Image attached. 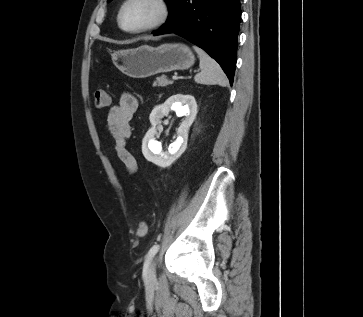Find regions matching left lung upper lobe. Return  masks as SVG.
Returning a JSON list of instances; mask_svg holds the SVG:
<instances>
[{
	"label": "left lung upper lobe",
	"instance_id": "1",
	"mask_svg": "<svg viewBox=\"0 0 363 317\" xmlns=\"http://www.w3.org/2000/svg\"><path fill=\"white\" fill-rule=\"evenodd\" d=\"M109 1H111V0H108V2ZM166 2L168 3V4H170L171 2H172V0H166Z\"/></svg>",
	"mask_w": 363,
	"mask_h": 317
}]
</instances>
